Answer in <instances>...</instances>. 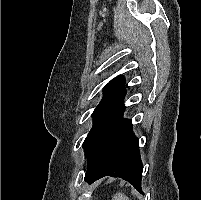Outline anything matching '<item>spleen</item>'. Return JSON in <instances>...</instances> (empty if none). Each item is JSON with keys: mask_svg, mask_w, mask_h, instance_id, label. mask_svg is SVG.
<instances>
[{"mask_svg": "<svg viewBox=\"0 0 201 200\" xmlns=\"http://www.w3.org/2000/svg\"><path fill=\"white\" fill-rule=\"evenodd\" d=\"M112 200H129V198L125 194L118 192L112 197Z\"/></svg>", "mask_w": 201, "mask_h": 200, "instance_id": "1", "label": "spleen"}]
</instances>
